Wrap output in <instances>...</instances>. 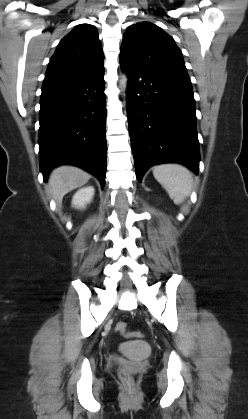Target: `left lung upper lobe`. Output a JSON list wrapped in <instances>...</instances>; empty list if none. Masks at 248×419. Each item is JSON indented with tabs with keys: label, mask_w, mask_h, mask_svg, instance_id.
<instances>
[{
	"label": "left lung upper lobe",
	"mask_w": 248,
	"mask_h": 419,
	"mask_svg": "<svg viewBox=\"0 0 248 419\" xmlns=\"http://www.w3.org/2000/svg\"><path fill=\"white\" fill-rule=\"evenodd\" d=\"M120 59L144 70L191 83L181 50L170 35L152 23L140 22L126 30Z\"/></svg>",
	"instance_id": "5c2ea615"
}]
</instances>
